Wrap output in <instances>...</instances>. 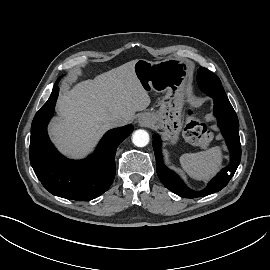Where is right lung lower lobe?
<instances>
[{
    "mask_svg": "<svg viewBox=\"0 0 270 270\" xmlns=\"http://www.w3.org/2000/svg\"><path fill=\"white\" fill-rule=\"evenodd\" d=\"M55 83L48 101L36 113L31 125L30 163L43 186L53 195L87 201L99 197L115 177V152L133 131L132 125L108 131L95 152L84 160H70L61 155L47 134L59 93Z\"/></svg>",
    "mask_w": 270,
    "mask_h": 270,
    "instance_id": "1",
    "label": "right lung lower lobe"
}]
</instances>
